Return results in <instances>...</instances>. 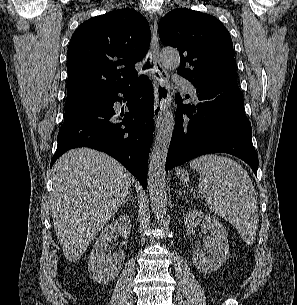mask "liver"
I'll use <instances>...</instances> for the list:
<instances>
[{"mask_svg":"<svg viewBox=\"0 0 297 305\" xmlns=\"http://www.w3.org/2000/svg\"><path fill=\"white\" fill-rule=\"evenodd\" d=\"M132 184L131 174L107 154L76 148L53 166L50 209L69 262L78 260L115 215Z\"/></svg>","mask_w":297,"mask_h":305,"instance_id":"obj_1","label":"liver"}]
</instances>
